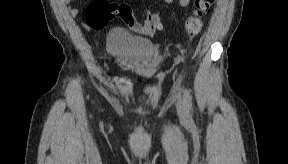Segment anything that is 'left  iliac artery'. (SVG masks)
I'll list each match as a JSON object with an SVG mask.
<instances>
[{"mask_svg": "<svg viewBox=\"0 0 288 164\" xmlns=\"http://www.w3.org/2000/svg\"><path fill=\"white\" fill-rule=\"evenodd\" d=\"M183 97L186 108L188 110H192V97L190 91L187 88L183 89Z\"/></svg>", "mask_w": 288, "mask_h": 164, "instance_id": "obj_1", "label": "left iliac artery"}]
</instances>
